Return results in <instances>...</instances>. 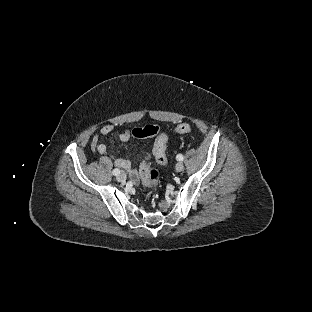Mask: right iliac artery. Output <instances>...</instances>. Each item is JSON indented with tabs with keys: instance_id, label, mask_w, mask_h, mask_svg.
Wrapping results in <instances>:
<instances>
[{
	"instance_id": "82829eb1",
	"label": "right iliac artery",
	"mask_w": 312,
	"mask_h": 312,
	"mask_svg": "<svg viewBox=\"0 0 312 312\" xmlns=\"http://www.w3.org/2000/svg\"><path fill=\"white\" fill-rule=\"evenodd\" d=\"M112 173H113V175L117 176V175L120 174V170H119V169H114V170L112 171Z\"/></svg>"
}]
</instances>
